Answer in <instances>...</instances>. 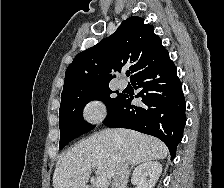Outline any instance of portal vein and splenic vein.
<instances>
[{"instance_id":"obj_1","label":"portal vein and splenic vein","mask_w":224,"mask_h":188,"mask_svg":"<svg viewBox=\"0 0 224 188\" xmlns=\"http://www.w3.org/2000/svg\"><path fill=\"white\" fill-rule=\"evenodd\" d=\"M91 168H84L78 171H75L74 174H80L85 171H89ZM96 188H107L108 187V180L104 176H97L95 181Z\"/></svg>"}]
</instances>
